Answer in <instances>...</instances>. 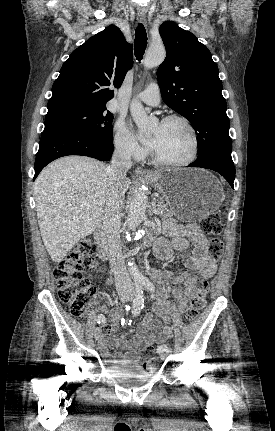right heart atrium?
<instances>
[{"instance_id": "obj_1", "label": "right heart atrium", "mask_w": 275, "mask_h": 431, "mask_svg": "<svg viewBox=\"0 0 275 431\" xmlns=\"http://www.w3.org/2000/svg\"><path fill=\"white\" fill-rule=\"evenodd\" d=\"M114 146L126 158L140 159L146 153L122 119L117 120L114 126Z\"/></svg>"}]
</instances>
